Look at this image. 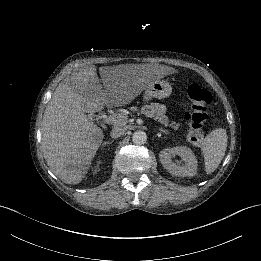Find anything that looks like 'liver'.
<instances>
[{
  "label": "liver",
  "instance_id": "1",
  "mask_svg": "<svg viewBox=\"0 0 261 261\" xmlns=\"http://www.w3.org/2000/svg\"><path fill=\"white\" fill-rule=\"evenodd\" d=\"M100 71L105 89L96 68L82 66L58 85L41 120V153L50 170L66 184L81 183L104 140L103 130L85 113L129 105L151 82L165 75L157 67L136 65Z\"/></svg>",
  "mask_w": 261,
  "mask_h": 261
}]
</instances>
